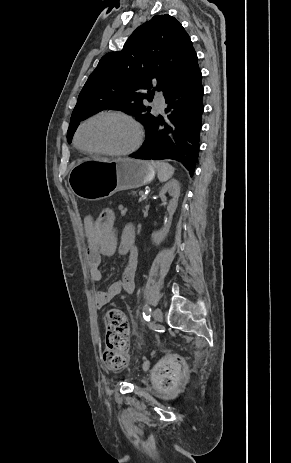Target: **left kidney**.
I'll return each instance as SVG.
<instances>
[{
    "mask_svg": "<svg viewBox=\"0 0 291 463\" xmlns=\"http://www.w3.org/2000/svg\"><path fill=\"white\" fill-rule=\"evenodd\" d=\"M166 193H168L172 198L167 203ZM180 196V185L179 182L175 179L166 183L160 190L159 197L162 202L167 204V211L169 213V220L159 231L153 232L151 235L152 241L154 244H160L167 236L171 223L173 214L175 213L178 206V199Z\"/></svg>",
    "mask_w": 291,
    "mask_h": 463,
    "instance_id": "left-kidney-1",
    "label": "left kidney"
}]
</instances>
